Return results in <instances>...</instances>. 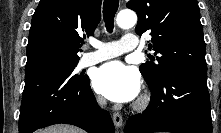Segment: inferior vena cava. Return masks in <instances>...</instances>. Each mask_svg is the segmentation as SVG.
Returning <instances> with one entry per match:
<instances>
[{
	"instance_id": "1",
	"label": "inferior vena cava",
	"mask_w": 221,
	"mask_h": 133,
	"mask_svg": "<svg viewBox=\"0 0 221 133\" xmlns=\"http://www.w3.org/2000/svg\"><path fill=\"white\" fill-rule=\"evenodd\" d=\"M98 103L101 106H104L106 104L105 100H103V99H98Z\"/></svg>"
}]
</instances>
